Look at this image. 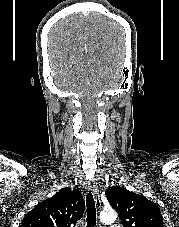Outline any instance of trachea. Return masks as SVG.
Here are the masks:
<instances>
[{
  "instance_id": "3493384b",
  "label": "trachea",
  "mask_w": 179,
  "mask_h": 227,
  "mask_svg": "<svg viewBox=\"0 0 179 227\" xmlns=\"http://www.w3.org/2000/svg\"><path fill=\"white\" fill-rule=\"evenodd\" d=\"M86 207H87V227L96 226V208L95 201L91 191L86 195Z\"/></svg>"
}]
</instances>
